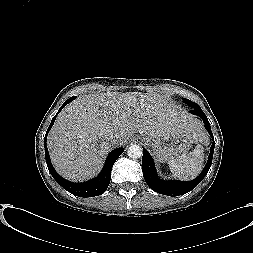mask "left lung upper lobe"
I'll return each instance as SVG.
<instances>
[{
	"mask_svg": "<svg viewBox=\"0 0 253 253\" xmlns=\"http://www.w3.org/2000/svg\"><path fill=\"white\" fill-rule=\"evenodd\" d=\"M183 101H184L186 104H188L189 106H190L191 104H195L194 102H192V101H190V100H188V99H186V98H183Z\"/></svg>",
	"mask_w": 253,
	"mask_h": 253,
	"instance_id": "5c2ea615",
	"label": "left lung upper lobe"
}]
</instances>
